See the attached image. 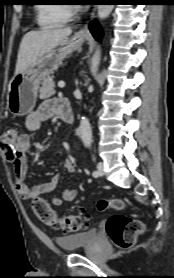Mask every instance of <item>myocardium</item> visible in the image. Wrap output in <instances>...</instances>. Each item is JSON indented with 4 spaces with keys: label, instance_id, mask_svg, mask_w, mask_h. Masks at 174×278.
Instances as JSON below:
<instances>
[{
    "label": "myocardium",
    "instance_id": "myocardium-1",
    "mask_svg": "<svg viewBox=\"0 0 174 278\" xmlns=\"http://www.w3.org/2000/svg\"><path fill=\"white\" fill-rule=\"evenodd\" d=\"M66 8L71 16L80 12V8L75 5H66Z\"/></svg>",
    "mask_w": 174,
    "mask_h": 278
}]
</instances>
